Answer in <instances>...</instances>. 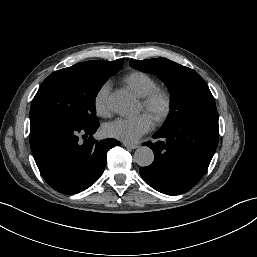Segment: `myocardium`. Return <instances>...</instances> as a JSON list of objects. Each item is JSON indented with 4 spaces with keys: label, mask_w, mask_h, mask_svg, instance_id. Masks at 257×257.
I'll use <instances>...</instances> for the list:
<instances>
[{
    "label": "myocardium",
    "mask_w": 257,
    "mask_h": 257,
    "mask_svg": "<svg viewBox=\"0 0 257 257\" xmlns=\"http://www.w3.org/2000/svg\"><path fill=\"white\" fill-rule=\"evenodd\" d=\"M142 104L145 111L153 113V118L158 123L164 121L171 110L170 95L165 90L158 88L142 97Z\"/></svg>",
    "instance_id": "obj_1"
}]
</instances>
